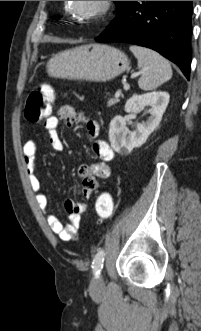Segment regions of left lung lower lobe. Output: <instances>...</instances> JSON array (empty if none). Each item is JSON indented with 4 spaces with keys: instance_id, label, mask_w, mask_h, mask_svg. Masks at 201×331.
<instances>
[{
    "instance_id": "1",
    "label": "left lung lower lobe",
    "mask_w": 201,
    "mask_h": 331,
    "mask_svg": "<svg viewBox=\"0 0 201 331\" xmlns=\"http://www.w3.org/2000/svg\"><path fill=\"white\" fill-rule=\"evenodd\" d=\"M192 1H122L96 41L137 44L177 64L187 79L191 66Z\"/></svg>"
}]
</instances>
